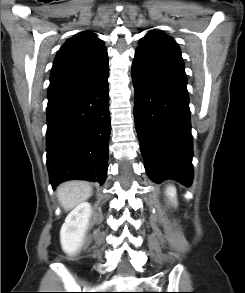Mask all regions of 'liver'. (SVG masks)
Returning <instances> with one entry per match:
<instances>
[{
	"label": "liver",
	"mask_w": 245,
	"mask_h": 293,
	"mask_svg": "<svg viewBox=\"0 0 245 293\" xmlns=\"http://www.w3.org/2000/svg\"><path fill=\"white\" fill-rule=\"evenodd\" d=\"M92 195V187L84 181H68L57 188L59 203L65 211H69L86 201Z\"/></svg>",
	"instance_id": "obj_1"
}]
</instances>
